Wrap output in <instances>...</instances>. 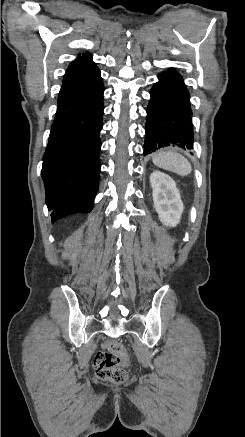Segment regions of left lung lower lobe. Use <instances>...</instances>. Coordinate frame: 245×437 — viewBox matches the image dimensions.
Masks as SVG:
<instances>
[{"mask_svg":"<svg viewBox=\"0 0 245 437\" xmlns=\"http://www.w3.org/2000/svg\"><path fill=\"white\" fill-rule=\"evenodd\" d=\"M158 77L147 107L144 155L168 146L192 149L190 95L183 78L174 69Z\"/></svg>","mask_w":245,"mask_h":437,"instance_id":"left-lung-lower-lobe-1","label":"left lung lower lobe"}]
</instances>
